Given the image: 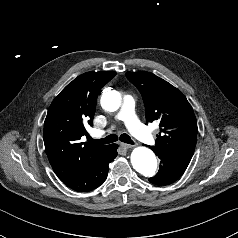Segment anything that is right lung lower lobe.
Here are the masks:
<instances>
[{
  "mask_svg": "<svg viewBox=\"0 0 238 238\" xmlns=\"http://www.w3.org/2000/svg\"><path fill=\"white\" fill-rule=\"evenodd\" d=\"M117 148V144L109 145L90 166L64 184L77 192H87L99 187L107 177L109 163L117 156Z\"/></svg>",
  "mask_w": 238,
  "mask_h": 238,
  "instance_id": "obj_1",
  "label": "right lung lower lobe"
}]
</instances>
